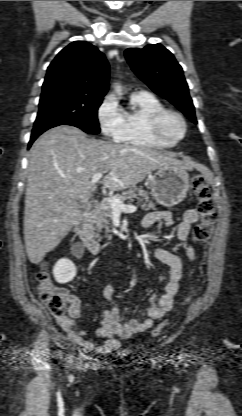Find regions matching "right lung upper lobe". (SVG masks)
<instances>
[{"mask_svg": "<svg viewBox=\"0 0 242 416\" xmlns=\"http://www.w3.org/2000/svg\"><path fill=\"white\" fill-rule=\"evenodd\" d=\"M108 80L109 65L104 54L88 42L75 41L49 65L41 96L67 93L103 97Z\"/></svg>", "mask_w": 242, "mask_h": 416, "instance_id": "right-lung-upper-lobe-1", "label": "right lung upper lobe"}]
</instances>
